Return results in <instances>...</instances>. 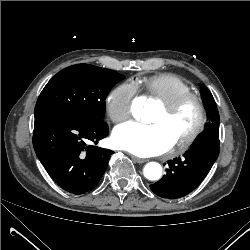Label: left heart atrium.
<instances>
[{"mask_svg":"<svg viewBox=\"0 0 250 250\" xmlns=\"http://www.w3.org/2000/svg\"><path fill=\"white\" fill-rule=\"evenodd\" d=\"M112 143L116 148L146 157L166 152L175 142L161 125L129 121L115 128Z\"/></svg>","mask_w":250,"mask_h":250,"instance_id":"obj_1","label":"left heart atrium"}]
</instances>
